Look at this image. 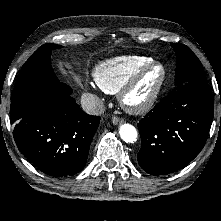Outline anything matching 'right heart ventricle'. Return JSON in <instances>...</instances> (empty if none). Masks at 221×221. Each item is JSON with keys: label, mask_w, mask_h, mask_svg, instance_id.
Returning <instances> with one entry per match:
<instances>
[{"label": "right heart ventricle", "mask_w": 221, "mask_h": 221, "mask_svg": "<svg viewBox=\"0 0 221 221\" xmlns=\"http://www.w3.org/2000/svg\"><path fill=\"white\" fill-rule=\"evenodd\" d=\"M152 61V58L146 56L114 57L96 64L92 75L101 90L115 94L133 74Z\"/></svg>", "instance_id": "e07e8e85"}]
</instances>
